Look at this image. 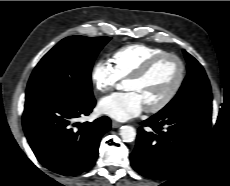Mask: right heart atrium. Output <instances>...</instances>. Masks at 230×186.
Segmentation results:
<instances>
[{
  "mask_svg": "<svg viewBox=\"0 0 230 186\" xmlns=\"http://www.w3.org/2000/svg\"><path fill=\"white\" fill-rule=\"evenodd\" d=\"M91 81L100 93H107L117 86L119 78L112 64L104 59L98 60L91 70Z\"/></svg>",
  "mask_w": 230,
  "mask_h": 186,
  "instance_id": "obj_1",
  "label": "right heart atrium"
}]
</instances>
